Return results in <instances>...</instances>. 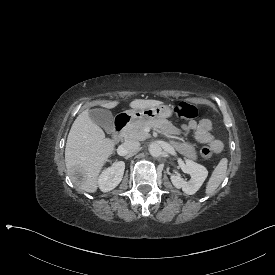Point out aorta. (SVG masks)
I'll return each mask as SVG.
<instances>
[{"mask_svg": "<svg viewBox=\"0 0 275 275\" xmlns=\"http://www.w3.org/2000/svg\"><path fill=\"white\" fill-rule=\"evenodd\" d=\"M149 152L153 157H158L162 153V148L158 143H151L149 145Z\"/></svg>", "mask_w": 275, "mask_h": 275, "instance_id": "1", "label": "aorta"}]
</instances>
